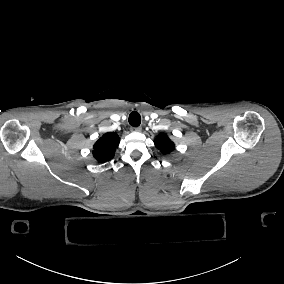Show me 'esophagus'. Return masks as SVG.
<instances>
[{
    "instance_id": "obj_1",
    "label": "esophagus",
    "mask_w": 284,
    "mask_h": 284,
    "mask_svg": "<svg viewBox=\"0 0 284 284\" xmlns=\"http://www.w3.org/2000/svg\"><path fill=\"white\" fill-rule=\"evenodd\" d=\"M141 129H142V128L139 127V126H138V127H133V126H132V127L130 128V131H131V132H140Z\"/></svg>"
}]
</instances>
